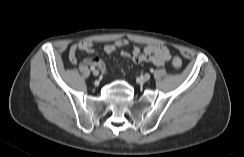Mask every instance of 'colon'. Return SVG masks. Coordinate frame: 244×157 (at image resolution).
<instances>
[{
	"mask_svg": "<svg viewBox=\"0 0 244 157\" xmlns=\"http://www.w3.org/2000/svg\"><path fill=\"white\" fill-rule=\"evenodd\" d=\"M172 64L175 68L179 69L182 67V61L179 57L175 56L172 59Z\"/></svg>",
	"mask_w": 244,
	"mask_h": 157,
	"instance_id": "obj_1",
	"label": "colon"
}]
</instances>
